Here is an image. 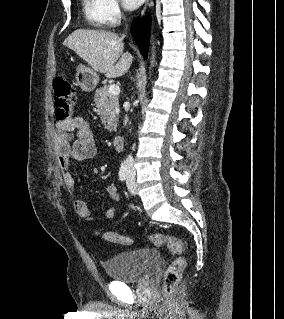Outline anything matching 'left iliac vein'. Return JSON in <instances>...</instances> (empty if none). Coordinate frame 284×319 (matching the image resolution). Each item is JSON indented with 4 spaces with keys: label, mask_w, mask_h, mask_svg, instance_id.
I'll return each instance as SVG.
<instances>
[{
    "label": "left iliac vein",
    "mask_w": 284,
    "mask_h": 319,
    "mask_svg": "<svg viewBox=\"0 0 284 319\" xmlns=\"http://www.w3.org/2000/svg\"><path fill=\"white\" fill-rule=\"evenodd\" d=\"M126 184L130 193L132 195H135L136 194L135 180H134V175L130 170L127 173Z\"/></svg>",
    "instance_id": "1"
}]
</instances>
